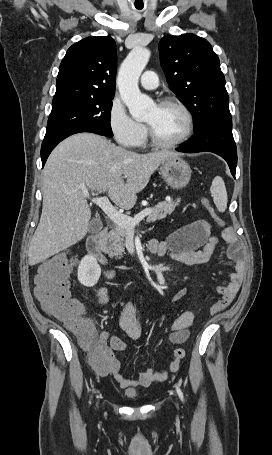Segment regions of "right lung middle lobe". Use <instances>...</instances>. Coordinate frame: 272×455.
<instances>
[{
    "instance_id": "1",
    "label": "right lung middle lobe",
    "mask_w": 272,
    "mask_h": 455,
    "mask_svg": "<svg viewBox=\"0 0 272 455\" xmlns=\"http://www.w3.org/2000/svg\"><path fill=\"white\" fill-rule=\"evenodd\" d=\"M113 97H77L52 101L46 132L70 127H91L112 137L110 116Z\"/></svg>"
}]
</instances>
